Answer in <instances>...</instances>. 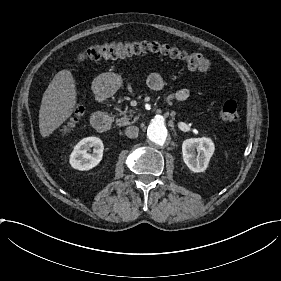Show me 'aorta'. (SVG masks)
I'll list each match as a JSON object with an SVG mask.
<instances>
[{"mask_svg": "<svg viewBox=\"0 0 281 281\" xmlns=\"http://www.w3.org/2000/svg\"><path fill=\"white\" fill-rule=\"evenodd\" d=\"M147 136L152 143L158 146H163L167 142L169 131L163 116H156L151 121L147 130Z\"/></svg>", "mask_w": 281, "mask_h": 281, "instance_id": "obj_1", "label": "aorta"}]
</instances>
